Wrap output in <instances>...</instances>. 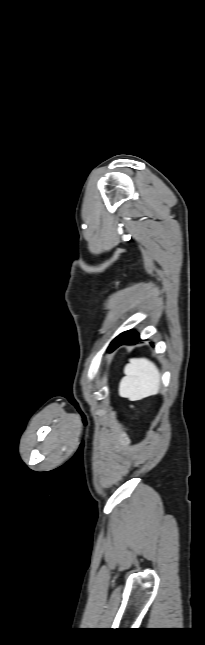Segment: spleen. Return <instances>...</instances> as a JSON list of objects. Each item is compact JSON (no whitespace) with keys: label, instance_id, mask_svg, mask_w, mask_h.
Listing matches in <instances>:
<instances>
[{"label":"spleen","instance_id":"1","mask_svg":"<svg viewBox=\"0 0 205 645\" xmlns=\"http://www.w3.org/2000/svg\"><path fill=\"white\" fill-rule=\"evenodd\" d=\"M124 374L119 385L120 396L136 401L159 392L161 375L148 359H130L124 367Z\"/></svg>","mask_w":205,"mask_h":645}]
</instances>
